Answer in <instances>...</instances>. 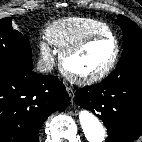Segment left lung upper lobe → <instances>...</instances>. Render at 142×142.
I'll use <instances>...</instances> for the list:
<instances>
[{
  "label": "left lung upper lobe",
  "instance_id": "left-lung-upper-lobe-1",
  "mask_svg": "<svg viewBox=\"0 0 142 142\" xmlns=\"http://www.w3.org/2000/svg\"><path fill=\"white\" fill-rule=\"evenodd\" d=\"M123 30V52L116 69L106 78L115 80L142 75V30L129 18L119 15Z\"/></svg>",
  "mask_w": 142,
  "mask_h": 142
}]
</instances>
